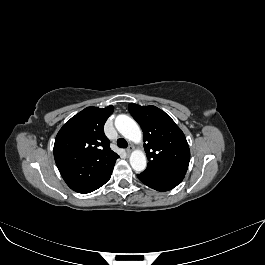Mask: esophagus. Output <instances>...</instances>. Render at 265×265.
<instances>
[{
  "instance_id": "esophagus-1",
  "label": "esophagus",
  "mask_w": 265,
  "mask_h": 265,
  "mask_svg": "<svg viewBox=\"0 0 265 265\" xmlns=\"http://www.w3.org/2000/svg\"><path fill=\"white\" fill-rule=\"evenodd\" d=\"M133 150V146H129L127 149H126V152L127 154H130Z\"/></svg>"
}]
</instances>
